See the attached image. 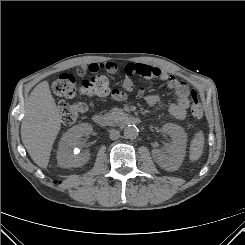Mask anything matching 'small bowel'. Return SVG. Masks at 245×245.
Returning <instances> with one entry per match:
<instances>
[{
	"mask_svg": "<svg viewBox=\"0 0 245 245\" xmlns=\"http://www.w3.org/2000/svg\"><path fill=\"white\" fill-rule=\"evenodd\" d=\"M118 69V65L111 61L92 62L82 66L79 72L83 74L85 72L96 73L100 70H105L109 74H115L118 72ZM125 73L126 76L122 82V87L110 91V98L113 101H124L129 97L130 93H132L135 88V77L138 76L147 79L156 78L166 82L167 86L176 95V101L169 106V113L178 120H184L186 118L187 110L190 106V91L185 82L158 67L143 63H128L125 66ZM137 96L143 98L150 106H155L160 101L159 95L145 94L143 88L138 90Z\"/></svg>",
	"mask_w": 245,
	"mask_h": 245,
	"instance_id": "c3829d8e",
	"label": "small bowel"
}]
</instances>
